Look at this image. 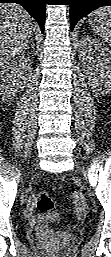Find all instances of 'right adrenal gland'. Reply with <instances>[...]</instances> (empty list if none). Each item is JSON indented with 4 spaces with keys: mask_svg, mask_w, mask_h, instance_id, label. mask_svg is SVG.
<instances>
[{
    "mask_svg": "<svg viewBox=\"0 0 111 257\" xmlns=\"http://www.w3.org/2000/svg\"><path fill=\"white\" fill-rule=\"evenodd\" d=\"M29 47H31V49H34V41L33 38L31 36L29 43L27 44V46L25 47V49H29Z\"/></svg>",
    "mask_w": 111,
    "mask_h": 257,
    "instance_id": "2a0ac1e0",
    "label": "right adrenal gland"
}]
</instances>
